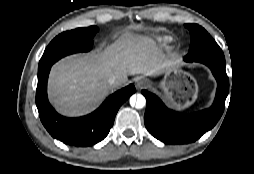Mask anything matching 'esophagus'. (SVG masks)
I'll list each match as a JSON object with an SVG mask.
<instances>
[{"mask_svg": "<svg viewBox=\"0 0 254 174\" xmlns=\"http://www.w3.org/2000/svg\"><path fill=\"white\" fill-rule=\"evenodd\" d=\"M148 85V81L146 79H139L136 81V88L142 89Z\"/></svg>", "mask_w": 254, "mask_h": 174, "instance_id": "obj_1", "label": "esophagus"}]
</instances>
